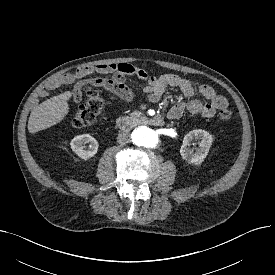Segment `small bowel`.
Segmentation results:
<instances>
[{
	"mask_svg": "<svg viewBox=\"0 0 275 275\" xmlns=\"http://www.w3.org/2000/svg\"><path fill=\"white\" fill-rule=\"evenodd\" d=\"M92 74H114L111 79H96L94 82L96 85L113 92L126 102L132 100V93L125 84L127 75H135L147 82L144 91L152 102L159 101L169 87L180 89L187 100L179 102L170 108L168 112V118L170 119L180 118L185 111L191 115L211 118L218 110L228 106L227 99L208 85L196 84L175 74L154 76L143 69L126 63L80 67L73 72L59 76L52 83V88H57L63 84H73L79 79ZM83 84L76 83L72 90L71 100L75 103L82 98ZM197 95H200L202 100L197 98Z\"/></svg>",
	"mask_w": 275,
	"mask_h": 275,
	"instance_id": "obj_1",
	"label": "small bowel"
}]
</instances>
